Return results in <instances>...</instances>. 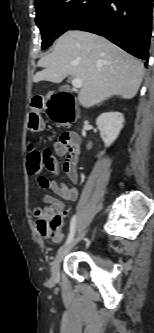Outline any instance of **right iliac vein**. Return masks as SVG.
Returning <instances> with one entry per match:
<instances>
[{
    "instance_id": "right-iliac-vein-1",
    "label": "right iliac vein",
    "mask_w": 154,
    "mask_h": 333,
    "mask_svg": "<svg viewBox=\"0 0 154 333\" xmlns=\"http://www.w3.org/2000/svg\"><path fill=\"white\" fill-rule=\"evenodd\" d=\"M86 231L80 233L76 238L72 239L71 242L63 246L59 249L57 252V255L55 259L53 260L51 264V277L53 280L59 279V269H60V263L65 257V255L85 236Z\"/></svg>"
}]
</instances>
